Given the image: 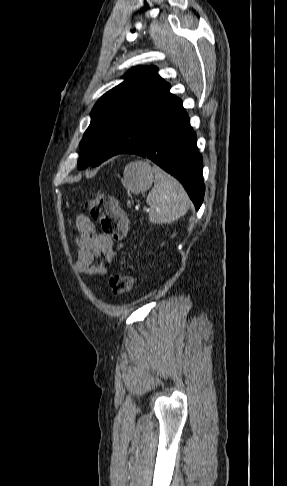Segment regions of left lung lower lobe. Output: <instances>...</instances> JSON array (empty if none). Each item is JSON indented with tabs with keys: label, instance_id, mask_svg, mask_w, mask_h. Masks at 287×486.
I'll list each match as a JSON object with an SVG mask.
<instances>
[{
	"label": "left lung lower lobe",
	"instance_id": "0a47b994",
	"mask_svg": "<svg viewBox=\"0 0 287 486\" xmlns=\"http://www.w3.org/2000/svg\"><path fill=\"white\" fill-rule=\"evenodd\" d=\"M196 142V134L181 101L138 147L128 153L148 158L176 177L198 210L203 202L205 186L203 161Z\"/></svg>",
	"mask_w": 287,
	"mask_h": 486
}]
</instances>
